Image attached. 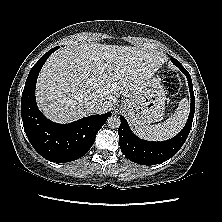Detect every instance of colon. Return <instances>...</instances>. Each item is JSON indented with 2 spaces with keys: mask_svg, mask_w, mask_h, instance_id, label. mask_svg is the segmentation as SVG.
<instances>
[{
  "mask_svg": "<svg viewBox=\"0 0 222 222\" xmlns=\"http://www.w3.org/2000/svg\"><path fill=\"white\" fill-rule=\"evenodd\" d=\"M163 85L166 92L171 96L177 95L182 87L178 74L172 70L165 72L163 77Z\"/></svg>",
  "mask_w": 222,
  "mask_h": 222,
  "instance_id": "colon-1",
  "label": "colon"
}]
</instances>
